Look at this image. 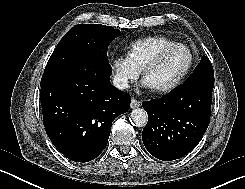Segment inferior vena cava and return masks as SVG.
<instances>
[{"mask_svg": "<svg viewBox=\"0 0 245 189\" xmlns=\"http://www.w3.org/2000/svg\"><path fill=\"white\" fill-rule=\"evenodd\" d=\"M113 85L120 90H124L129 87L127 80L122 76L117 75L113 79Z\"/></svg>", "mask_w": 245, "mask_h": 189, "instance_id": "1", "label": "inferior vena cava"}]
</instances>
